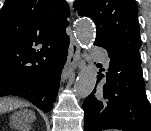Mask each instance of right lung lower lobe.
Listing matches in <instances>:
<instances>
[{"label":"right lung lower lobe","mask_w":151,"mask_h":131,"mask_svg":"<svg viewBox=\"0 0 151 131\" xmlns=\"http://www.w3.org/2000/svg\"><path fill=\"white\" fill-rule=\"evenodd\" d=\"M69 38L53 46L45 64L19 82L12 85L2 96H16L32 102L44 112L52 109L59 89L62 68L68 54Z\"/></svg>","instance_id":"1"}]
</instances>
